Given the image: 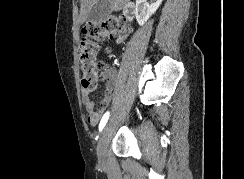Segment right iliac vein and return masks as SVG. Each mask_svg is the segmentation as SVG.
Instances as JSON below:
<instances>
[{
  "instance_id": "1",
  "label": "right iliac vein",
  "mask_w": 244,
  "mask_h": 179,
  "mask_svg": "<svg viewBox=\"0 0 244 179\" xmlns=\"http://www.w3.org/2000/svg\"><path fill=\"white\" fill-rule=\"evenodd\" d=\"M110 130L111 129H110V123H109L103 129L101 137L99 139L98 146H97L98 160L102 163H105V161H106V148H107V144H108Z\"/></svg>"
}]
</instances>
